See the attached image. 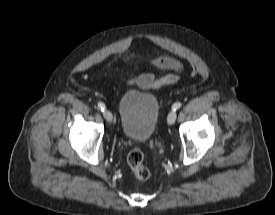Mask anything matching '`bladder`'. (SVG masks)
Wrapping results in <instances>:
<instances>
[{
  "label": "bladder",
  "instance_id": "obj_1",
  "mask_svg": "<svg viewBox=\"0 0 275 215\" xmlns=\"http://www.w3.org/2000/svg\"><path fill=\"white\" fill-rule=\"evenodd\" d=\"M123 136L135 142H147L155 132L159 102L152 93L128 90L118 104Z\"/></svg>",
  "mask_w": 275,
  "mask_h": 215
}]
</instances>
